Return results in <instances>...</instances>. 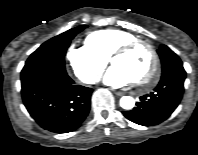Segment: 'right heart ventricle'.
I'll list each match as a JSON object with an SVG mask.
<instances>
[{
  "instance_id": "e07e8e85",
  "label": "right heart ventricle",
  "mask_w": 198,
  "mask_h": 155,
  "mask_svg": "<svg viewBox=\"0 0 198 155\" xmlns=\"http://www.w3.org/2000/svg\"><path fill=\"white\" fill-rule=\"evenodd\" d=\"M136 38L134 34L128 31L117 28H106L90 33L86 38V42L100 56L108 59L115 49L125 42Z\"/></svg>"
}]
</instances>
